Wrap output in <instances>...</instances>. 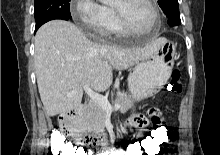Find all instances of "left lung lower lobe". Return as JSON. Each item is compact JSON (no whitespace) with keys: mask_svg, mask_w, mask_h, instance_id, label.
Returning a JSON list of instances; mask_svg holds the SVG:
<instances>
[{"mask_svg":"<svg viewBox=\"0 0 220 155\" xmlns=\"http://www.w3.org/2000/svg\"><path fill=\"white\" fill-rule=\"evenodd\" d=\"M169 26H176L181 24L180 16L176 15L167 19Z\"/></svg>","mask_w":220,"mask_h":155,"instance_id":"1","label":"left lung lower lobe"}]
</instances>
